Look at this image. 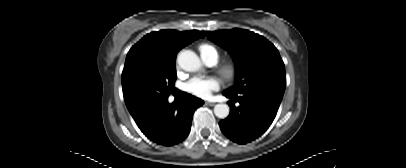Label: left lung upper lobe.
<instances>
[{"label":"left lung upper lobe","mask_w":406,"mask_h":168,"mask_svg":"<svg viewBox=\"0 0 406 168\" xmlns=\"http://www.w3.org/2000/svg\"><path fill=\"white\" fill-rule=\"evenodd\" d=\"M226 49L236 63V83L226 93L262 91L284 94L285 65L278 50L263 36L243 29L204 32Z\"/></svg>","instance_id":"5c2ea615"}]
</instances>
